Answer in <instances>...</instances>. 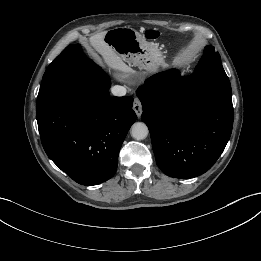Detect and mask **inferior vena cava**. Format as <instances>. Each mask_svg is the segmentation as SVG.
I'll list each match as a JSON object with an SVG mask.
<instances>
[{
	"mask_svg": "<svg viewBox=\"0 0 261 261\" xmlns=\"http://www.w3.org/2000/svg\"><path fill=\"white\" fill-rule=\"evenodd\" d=\"M111 92L114 96H125L127 90L123 86L115 85L112 87Z\"/></svg>",
	"mask_w": 261,
	"mask_h": 261,
	"instance_id": "1",
	"label": "inferior vena cava"
}]
</instances>
